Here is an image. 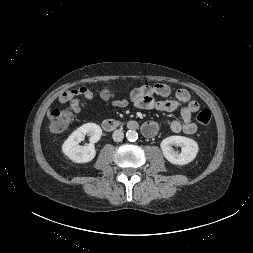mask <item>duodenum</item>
Masks as SVG:
<instances>
[{"label": "duodenum", "instance_id": "1", "mask_svg": "<svg viewBox=\"0 0 253 253\" xmlns=\"http://www.w3.org/2000/svg\"><path fill=\"white\" fill-rule=\"evenodd\" d=\"M102 127L106 131H113V130L124 128V127L130 130H137L139 129V123L135 120L120 121L116 119H105L102 122Z\"/></svg>", "mask_w": 253, "mask_h": 253}]
</instances>
